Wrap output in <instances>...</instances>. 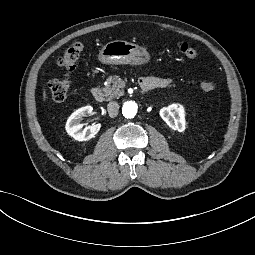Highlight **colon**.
<instances>
[{
    "label": "colon",
    "instance_id": "obj_1",
    "mask_svg": "<svg viewBox=\"0 0 255 255\" xmlns=\"http://www.w3.org/2000/svg\"><path fill=\"white\" fill-rule=\"evenodd\" d=\"M179 51L187 58H195L197 50L188 43L182 42L178 45ZM83 52V44L80 42L74 43L66 48L58 58V65L65 70L62 78L53 79L49 83L51 98L55 102L64 101L71 87L70 73L76 68ZM216 88V83L212 81H204L201 83L203 91H211Z\"/></svg>",
    "mask_w": 255,
    "mask_h": 255
}]
</instances>
